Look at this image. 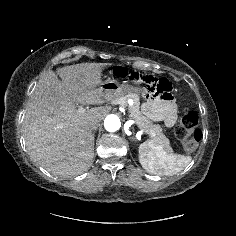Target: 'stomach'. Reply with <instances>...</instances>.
<instances>
[{"instance_id": "1", "label": "stomach", "mask_w": 236, "mask_h": 236, "mask_svg": "<svg viewBox=\"0 0 236 236\" xmlns=\"http://www.w3.org/2000/svg\"><path fill=\"white\" fill-rule=\"evenodd\" d=\"M100 88L109 100L120 98L127 93L135 94L139 99V95L145 91L144 87H138L128 83H119L118 81L111 79L103 82L100 85Z\"/></svg>"}]
</instances>
